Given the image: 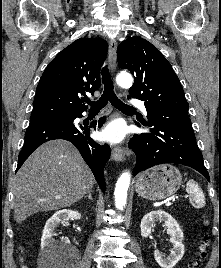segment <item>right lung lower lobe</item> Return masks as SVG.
<instances>
[{
	"label": "right lung lower lobe",
	"instance_id": "98d812e1",
	"mask_svg": "<svg viewBox=\"0 0 221 268\" xmlns=\"http://www.w3.org/2000/svg\"><path fill=\"white\" fill-rule=\"evenodd\" d=\"M77 117L81 118L82 115ZM75 118L31 121L25 134L24 146L18 156L17 170L41 144L53 139H64L73 143L79 150L83 159L91 168L100 188L105 192L103 170L110 158V147L97 144L89 136L90 128L88 126L75 125L73 123ZM104 121L105 118H101L98 126L101 127ZM95 125L96 122L91 126L95 127Z\"/></svg>",
	"mask_w": 221,
	"mask_h": 268
}]
</instances>
